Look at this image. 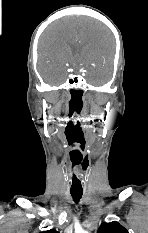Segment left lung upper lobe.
Masks as SVG:
<instances>
[{
    "label": "left lung upper lobe",
    "instance_id": "obj_1",
    "mask_svg": "<svg viewBox=\"0 0 148 233\" xmlns=\"http://www.w3.org/2000/svg\"><path fill=\"white\" fill-rule=\"evenodd\" d=\"M97 233H128V231L118 222H110L102 224Z\"/></svg>",
    "mask_w": 148,
    "mask_h": 233
}]
</instances>
